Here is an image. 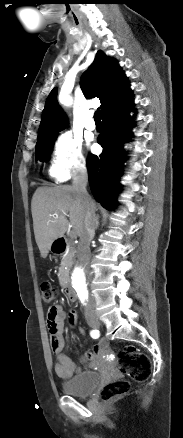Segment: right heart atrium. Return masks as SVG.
<instances>
[{"label": "right heart atrium", "instance_id": "1", "mask_svg": "<svg viewBox=\"0 0 183 438\" xmlns=\"http://www.w3.org/2000/svg\"><path fill=\"white\" fill-rule=\"evenodd\" d=\"M86 168L82 142L71 132H62L53 144L50 175L57 180L68 179Z\"/></svg>", "mask_w": 183, "mask_h": 438}]
</instances>
